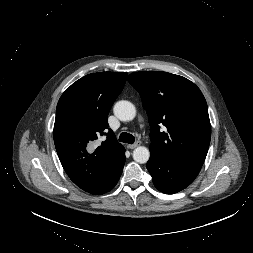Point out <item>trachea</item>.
Wrapping results in <instances>:
<instances>
[{
    "instance_id": "trachea-1",
    "label": "trachea",
    "mask_w": 253,
    "mask_h": 253,
    "mask_svg": "<svg viewBox=\"0 0 253 253\" xmlns=\"http://www.w3.org/2000/svg\"><path fill=\"white\" fill-rule=\"evenodd\" d=\"M119 141L128 144H133L135 141V137L127 132H122L119 136Z\"/></svg>"
}]
</instances>
